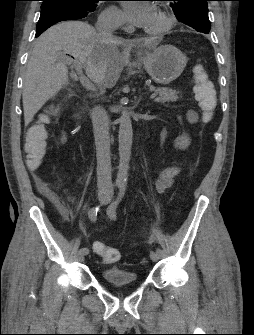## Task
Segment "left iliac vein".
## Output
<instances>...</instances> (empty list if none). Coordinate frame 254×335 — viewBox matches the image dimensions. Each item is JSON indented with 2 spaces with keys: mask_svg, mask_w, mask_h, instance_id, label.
<instances>
[{
  "mask_svg": "<svg viewBox=\"0 0 254 335\" xmlns=\"http://www.w3.org/2000/svg\"><path fill=\"white\" fill-rule=\"evenodd\" d=\"M150 258L153 262H156V261L159 260L160 256L156 252L151 251L150 252Z\"/></svg>",
  "mask_w": 254,
  "mask_h": 335,
  "instance_id": "1",
  "label": "left iliac vein"
}]
</instances>
